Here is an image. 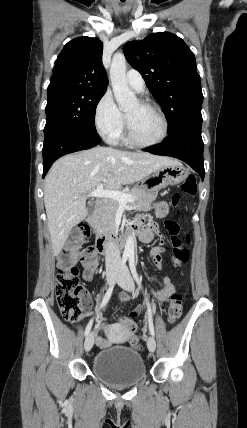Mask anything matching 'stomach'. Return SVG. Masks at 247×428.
Here are the masks:
<instances>
[{
  "label": "stomach",
  "instance_id": "0dacf381",
  "mask_svg": "<svg viewBox=\"0 0 247 428\" xmlns=\"http://www.w3.org/2000/svg\"><path fill=\"white\" fill-rule=\"evenodd\" d=\"M188 175V170L181 163L167 165L159 168L152 175L142 180L140 186L149 192H156L167 186L180 184Z\"/></svg>",
  "mask_w": 247,
  "mask_h": 428
}]
</instances>
